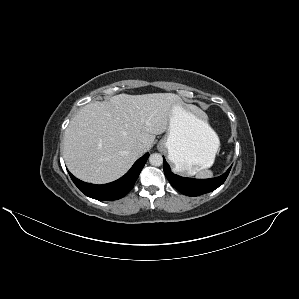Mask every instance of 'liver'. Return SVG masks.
Listing matches in <instances>:
<instances>
[{
    "label": "liver",
    "mask_w": 299,
    "mask_h": 299,
    "mask_svg": "<svg viewBox=\"0 0 299 299\" xmlns=\"http://www.w3.org/2000/svg\"><path fill=\"white\" fill-rule=\"evenodd\" d=\"M173 93L119 94L85 105L70 121L63 139L69 171L95 184L123 176L155 140L168 130ZM145 151L138 153L137 144Z\"/></svg>",
    "instance_id": "obj_1"
}]
</instances>
